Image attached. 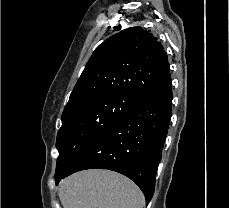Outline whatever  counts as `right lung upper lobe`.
Listing matches in <instances>:
<instances>
[{
    "mask_svg": "<svg viewBox=\"0 0 229 208\" xmlns=\"http://www.w3.org/2000/svg\"><path fill=\"white\" fill-rule=\"evenodd\" d=\"M170 83V67L161 43L142 27H131L95 49L62 115L77 104L104 95L119 94L141 102Z\"/></svg>",
    "mask_w": 229,
    "mask_h": 208,
    "instance_id": "1",
    "label": "right lung upper lobe"
}]
</instances>
